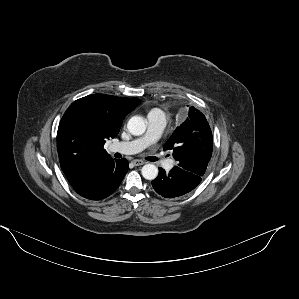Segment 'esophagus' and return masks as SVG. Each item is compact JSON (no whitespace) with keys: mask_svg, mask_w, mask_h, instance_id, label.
<instances>
[{"mask_svg":"<svg viewBox=\"0 0 299 299\" xmlns=\"http://www.w3.org/2000/svg\"><path fill=\"white\" fill-rule=\"evenodd\" d=\"M132 163L135 165V166H141L143 165L145 162L143 160H139V159H134L132 161Z\"/></svg>","mask_w":299,"mask_h":299,"instance_id":"esophagus-1","label":"esophagus"}]
</instances>
